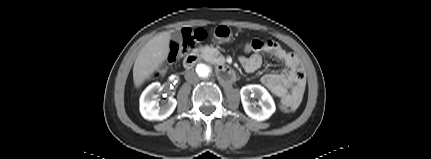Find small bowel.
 Wrapping results in <instances>:
<instances>
[{"mask_svg": "<svg viewBox=\"0 0 431 159\" xmlns=\"http://www.w3.org/2000/svg\"><path fill=\"white\" fill-rule=\"evenodd\" d=\"M252 51L249 56H241L239 61L247 72H254L263 62V53L275 57L283 63L280 73H267L262 77L263 85L272 94L281 99L289 112H294L300 105L305 91V74L299 67L295 55L285 50L272 40H252Z\"/></svg>", "mask_w": 431, "mask_h": 159, "instance_id": "small-bowel-1", "label": "small bowel"}]
</instances>
